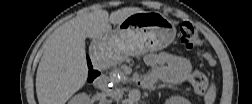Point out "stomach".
<instances>
[{
  "mask_svg": "<svg viewBox=\"0 0 252 104\" xmlns=\"http://www.w3.org/2000/svg\"><path fill=\"white\" fill-rule=\"evenodd\" d=\"M175 23L157 11H142L128 16L117 28L93 41L96 54L110 64L129 56L159 51L174 40Z\"/></svg>",
  "mask_w": 252,
  "mask_h": 104,
  "instance_id": "0dacf381",
  "label": "stomach"
}]
</instances>
